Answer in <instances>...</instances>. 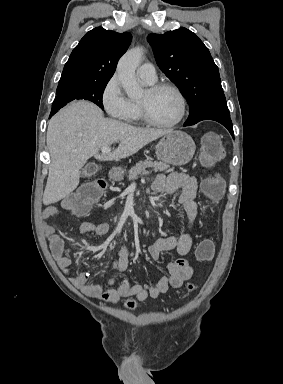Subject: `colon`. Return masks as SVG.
Listing matches in <instances>:
<instances>
[{
	"label": "colon",
	"mask_w": 283,
	"mask_h": 384,
	"mask_svg": "<svg viewBox=\"0 0 283 384\" xmlns=\"http://www.w3.org/2000/svg\"><path fill=\"white\" fill-rule=\"evenodd\" d=\"M224 157V149L220 136L215 132H207L200 144V159L206 166H212L220 162ZM106 183L103 180H93L83 184L77 191L72 193L63 201V205L76 214L86 213L104 194ZM225 190V184L219 175H210L202 179L201 191L210 202H218ZM215 246L209 239L202 240L196 249L199 260L209 261L214 257ZM195 286L189 284L187 290L193 291ZM127 307L133 309L137 306L136 301L129 300Z\"/></svg>",
	"instance_id": "5ec220e1"
}]
</instances>
